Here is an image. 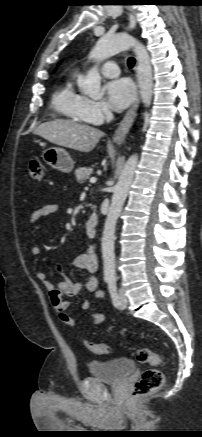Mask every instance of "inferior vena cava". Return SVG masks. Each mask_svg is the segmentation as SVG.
Instances as JSON below:
<instances>
[{
    "label": "inferior vena cava",
    "instance_id": "obj_1",
    "mask_svg": "<svg viewBox=\"0 0 202 437\" xmlns=\"http://www.w3.org/2000/svg\"><path fill=\"white\" fill-rule=\"evenodd\" d=\"M105 115H106V120L109 121L113 118V114L110 110H106L105 111Z\"/></svg>",
    "mask_w": 202,
    "mask_h": 437
}]
</instances>
